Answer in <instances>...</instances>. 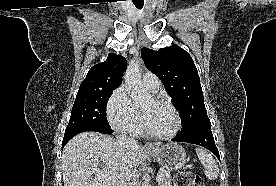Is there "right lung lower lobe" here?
<instances>
[{
  "mask_svg": "<svg viewBox=\"0 0 276 186\" xmlns=\"http://www.w3.org/2000/svg\"><path fill=\"white\" fill-rule=\"evenodd\" d=\"M85 131H96L104 134H111L113 132L111 127H100V126H91V125L79 126L74 129L66 130L63 138V142H62V149L73 136Z\"/></svg>",
  "mask_w": 276,
  "mask_h": 186,
  "instance_id": "right-lung-lower-lobe-1",
  "label": "right lung lower lobe"
}]
</instances>
